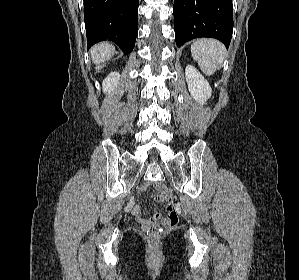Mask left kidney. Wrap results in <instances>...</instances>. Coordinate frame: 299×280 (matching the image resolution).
Returning <instances> with one entry per match:
<instances>
[{
	"label": "left kidney",
	"instance_id": "left-kidney-1",
	"mask_svg": "<svg viewBox=\"0 0 299 280\" xmlns=\"http://www.w3.org/2000/svg\"><path fill=\"white\" fill-rule=\"evenodd\" d=\"M185 75L188 84V89L192 97L200 104H204L206 100L211 97L212 94V89L209 83L192 65H188L186 67Z\"/></svg>",
	"mask_w": 299,
	"mask_h": 280
}]
</instances>
